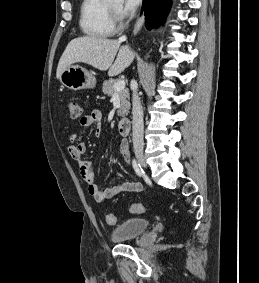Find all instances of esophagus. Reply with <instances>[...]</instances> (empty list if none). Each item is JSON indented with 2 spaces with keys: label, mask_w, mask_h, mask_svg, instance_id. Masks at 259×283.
<instances>
[{
  "label": "esophagus",
  "mask_w": 259,
  "mask_h": 283,
  "mask_svg": "<svg viewBox=\"0 0 259 283\" xmlns=\"http://www.w3.org/2000/svg\"><path fill=\"white\" fill-rule=\"evenodd\" d=\"M143 24H144V15H142L140 17V19L138 20V22H137V24L134 28V31H133L134 35L138 34V32L141 30Z\"/></svg>",
  "instance_id": "obj_1"
}]
</instances>
